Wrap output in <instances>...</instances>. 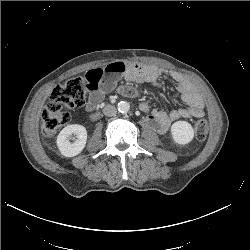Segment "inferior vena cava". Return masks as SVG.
I'll list each match as a JSON object with an SVG mask.
<instances>
[{
	"instance_id": "1",
	"label": "inferior vena cava",
	"mask_w": 250,
	"mask_h": 250,
	"mask_svg": "<svg viewBox=\"0 0 250 250\" xmlns=\"http://www.w3.org/2000/svg\"><path fill=\"white\" fill-rule=\"evenodd\" d=\"M103 113L109 117L115 116L117 113V109L113 105H106L103 109Z\"/></svg>"
}]
</instances>
